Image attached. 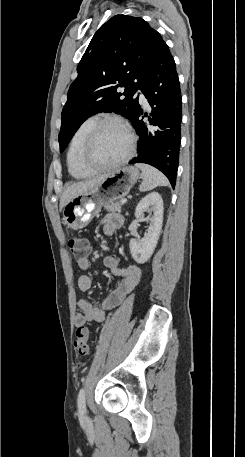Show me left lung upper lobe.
<instances>
[{
    "mask_svg": "<svg viewBox=\"0 0 245 457\" xmlns=\"http://www.w3.org/2000/svg\"><path fill=\"white\" fill-rule=\"evenodd\" d=\"M160 34L142 18L116 15L93 36L77 67L62 110L59 133L64 151L79 126L100 112H115L130 121L139 108V89ZM124 87V93H117ZM124 95L125 99H120Z\"/></svg>",
    "mask_w": 245,
    "mask_h": 457,
    "instance_id": "5c2ea615",
    "label": "left lung upper lobe"
}]
</instances>
